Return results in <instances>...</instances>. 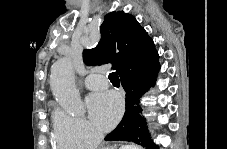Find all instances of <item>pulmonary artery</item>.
<instances>
[{
	"mask_svg": "<svg viewBox=\"0 0 227 149\" xmlns=\"http://www.w3.org/2000/svg\"><path fill=\"white\" fill-rule=\"evenodd\" d=\"M85 85L90 90H101L108 86V80L103 75L91 73L87 76Z\"/></svg>",
	"mask_w": 227,
	"mask_h": 149,
	"instance_id": "pulmonary-artery-1",
	"label": "pulmonary artery"
}]
</instances>
